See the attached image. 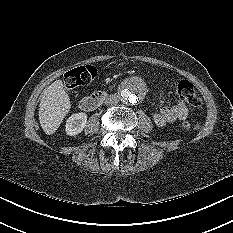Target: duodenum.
I'll list each match as a JSON object with an SVG mask.
<instances>
[{
	"mask_svg": "<svg viewBox=\"0 0 233 233\" xmlns=\"http://www.w3.org/2000/svg\"><path fill=\"white\" fill-rule=\"evenodd\" d=\"M107 96L108 94L104 91L94 92L91 95L83 97L79 102V106L84 111L95 110L104 102Z\"/></svg>",
	"mask_w": 233,
	"mask_h": 233,
	"instance_id": "410a0bca",
	"label": "duodenum"
}]
</instances>
